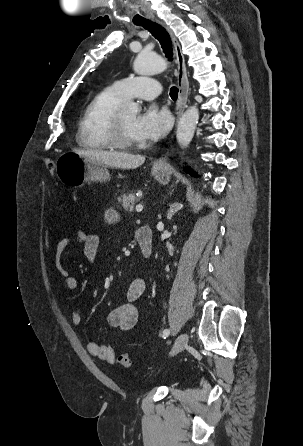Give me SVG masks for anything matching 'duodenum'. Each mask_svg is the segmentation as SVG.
Here are the masks:
<instances>
[{
    "label": "duodenum",
    "mask_w": 303,
    "mask_h": 446,
    "mask_svg": "<svg viewBox=\"0 0 303 446\" xmlns=\"http://www.w3.org/2000/svg\"><path fill=\"white\" fill-rule=\"evenodd\" d=\"M136 239L144 258H149L153 251V235L149 227H142L137 231Z\"/></svg>",
    "instance_id": "obj_1"
}]
</instances>
